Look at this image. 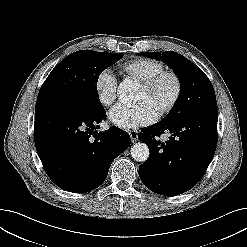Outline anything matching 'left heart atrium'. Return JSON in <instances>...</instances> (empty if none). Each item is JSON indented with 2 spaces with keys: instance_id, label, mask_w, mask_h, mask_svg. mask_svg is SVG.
<instances>
[{
  "instance_id": "obj_1",
  "label": "left heart atrium",
  "mask_w": 247,
  "mask_h": 247,
  "mask_svg": "<svg viewBox=\"0 0 247 247\" xmlns=\"http://www.w3.org/2000/svg\"><path fill=\"white\" fill-rule=\"evenodd\" d=\"M158 117V111L147 100H142L133 106L117 105L109 113L112 124L123 130H133L153 123Z\"/></svg>"
}]
</instances>
